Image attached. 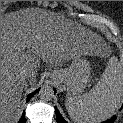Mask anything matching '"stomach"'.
Here are the masks:
<instances>
[{"label": "stomach", "instance_id": "stomach-1", "mask_svg": "<svg viewBox=\"0 0 123 123\" xmlns=\"http://www.w3.org/2000/svg\"><path fill=\"white\" fill-rule=\"evenodd\" d=\"M90 74L89 61L80 55L73 58L68 68L54 70L51 78L66 86L68 96H75L84 92L90 81Z\"/></svg>", "mask_w": 123, "mask_h": 123}]
</instances>
